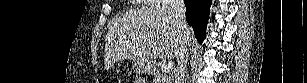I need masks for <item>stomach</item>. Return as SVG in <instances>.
<instances>
[{"instance_id":"1","label":"stomach","mask_w":307,"mask_h":83,"mask_svg":"<svg viewBox=\"0 0 307 83\" xmlns=\"http://www.w3.org/2000/svg\"><path fill=\"white\" fill-rule=\"evenodd\" d=\"M135 70L136 71H143V70H145V67L140 65V64H137L136 67H135Z\"/></svg>"}]
</instances>
